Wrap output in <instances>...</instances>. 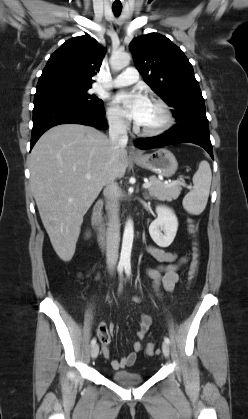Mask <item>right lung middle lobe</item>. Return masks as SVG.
I'll return each mask as SVG.
<instances>
[{
  "label": "right lung middle lobe",
  "instance_id": "right-lung-middle-lobe-1",
  "mask_svg": "<svg viewBox=\"0 0 248 419\" xmlns=\"http://www.w3.org/2000/svg\"><path fill=\"white\" fill-rule=\"evenodd\" d=\"M89 88H60L36 92L34 97V105L54 102V101H69L81 103L88 106L95 111H104L103 101L90 95Z\"/></svg>",
  "mask_w": 248,
  "mask_h": 419
}]
</instances>
